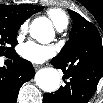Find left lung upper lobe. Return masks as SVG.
<instances>
[{
    "label": "left lung upper lobe",
    "instance_id": "5c2ea615",
    "mask_svg": "<svg viewBox=\"0 0 103 103\" xmlns=\"http://www.w3.org/2000/svg\"><path fill=\"white\" fill-rule=\"evenodd\" d=\"M73 19V25L70 32L69 40L62 48L58 58H68L74 52L85 54V57L91 56V52L87 50L86 40L89 38H99L100 34L96 26L87 21L77 12L68 10Z\"/></svg>",
    "mask_w": 103,
    "mask_h": 103
}]
</instances>
